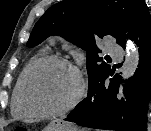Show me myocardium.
I'll return each mask as SVG.
<instances>
[{"label":"myocardium","mask_w":151,"mask_h":131,"mask_svg":"<svg viewBox=\"0 0 151 131\" xmlns=\"http://www.w3.org/2000/svg\"><path fill=\"white\" fill-rule=\"evenodd\" d=\"M49 64H61L69 68L76 78V89L69 101L61 108L53 111H38L31 108L27 103L28 83L32 74L39 68ZM85 92V82L80 70L68 59L56 55L44 56L34 61L26 70L20 88L19 106L24 114L36 118H54L64 115L73 110L81 101Z\"/></svg>","instance_id":"f54148a6"}]
</instances>
